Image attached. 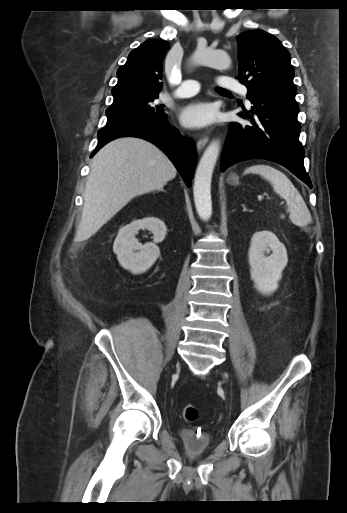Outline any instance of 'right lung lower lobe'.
<instances>
[{
  "mask_svg": "<svg viewBox=\"0 0 347 513\" xmlns=\"http://www.w3.org/2000/svg\"><path fill=\"white\" fill-rule=\"evenodd\" d=\"M98 144L91 157L113 139L125 136L138 137L160 147L175 165L188 187L191 185L196 165V149L189 139L169 125L166 115L154 121L143 117H127L107 122L98 131Z\"/></svg>",
  "mask_w": 347,
  "mask_h": 513,
  "instance_id": "1",
  "label": "right lung lower lobe"
}]
</instances>
